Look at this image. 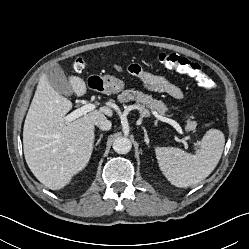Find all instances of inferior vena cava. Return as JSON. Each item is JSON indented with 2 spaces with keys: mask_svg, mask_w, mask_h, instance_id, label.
<instances>
[{
  "mask_svg": "<svg viewBox=\"0 0 249 249\" xmlns=\"http://www.w3.org/2000/svg\"><path fill=\"white\" fill-rule=\"evenodd\" d=\"M95 124L101 130H110L111 126H112L111 122L109 120H107V118L105 116L98 119Z\"/></svg>",
  "mask_w": 249,
  "mask_h": 249,
  "instance_id": "1",
  "label": "inferior vena cava"
}]
</instances>
